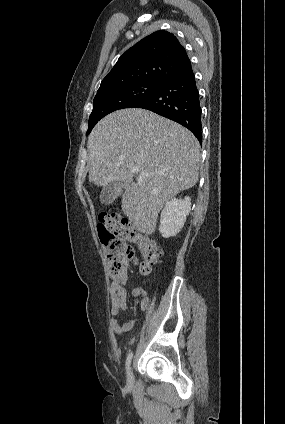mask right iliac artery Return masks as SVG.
<instances>
[{
	"label": "right iliac artery",
	"mask_w": 285,
	"mask_h": 424,
	"mask_svg": "<svg viewBox=\"0 0 285 424\" xmlns=\"http://www.w3.org/2000/svg\"><path fill=\"white\" fill-rule=\"evenodd\" d=\"M132 357H133V353H132V352H130V353L128 354V356H127V359H126V370H128V369H129V367H130Z\"/></svg>",
	"instance_id": "right-iliac-artery-1"
}]
</instances>
